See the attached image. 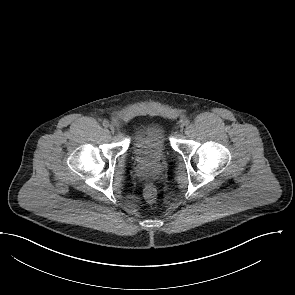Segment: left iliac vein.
<instances>
[{
    "instance_id": "obj_1",
    "label": "left iliac vein",
    "mask_w": 295,
    "mask_h": 295,
    "mask_svg": "<svg viewBox=\"0 0 295 295\" xmlns=\"http://www.w3.org/2000/svg\"><path fill=\"white\" fill-rule=\"evenodd\" d=\"M184 127V124H181V128H183Z\"/></svg>"
}]
</instances>
